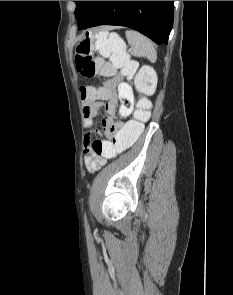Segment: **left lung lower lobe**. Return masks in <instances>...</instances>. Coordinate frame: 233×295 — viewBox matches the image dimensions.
Here are the masks:
<instances>
[{
    "mask_svg": "<svg viewBox=\"0 0 233 295\" xmlns=\"http://www.w3.org/2000/svg\"><path fill=\"white\" fill-rule=\"evenodd\" d=\"M174 1H99L84 29L108 24L135 29L155 43H168Z\"/></svg>",
    "mask_w": 233,
    "mask_h": 295,
    "instance_id": "obj_1",
    "label": "left lung lower lobe"
}]
</instances>
